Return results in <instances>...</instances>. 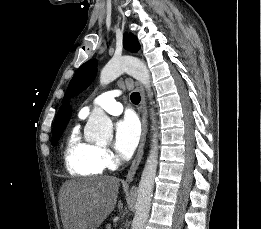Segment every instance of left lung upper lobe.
Returning a JSON list of instances; mask_svg holds the SVG:
<instances>
[{
    "label": "left lung upper lobe",
    "mask_w": 261,
    "mask_h": 229,
    "mask_svg": "<svg viewBox=\"0 0 261 229\" xmlns=\"http://www.w3.org/2000/svg\"><path fill=\"white\" fill-rule=\"evenodd\" d=\"M123 44L131 52H135L140 48L139 42L133 34L125 35ZM96 74L97 61L95 59L82 64L71 79L63 101L76 96L86 89L93 82Z\"/></svg>",
    "instance_id": "obj_1"
}]
</instances>
